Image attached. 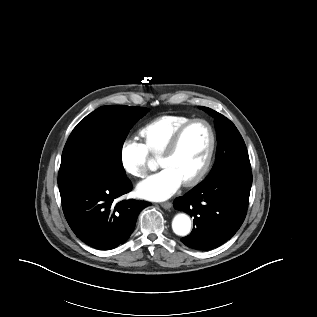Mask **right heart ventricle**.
Segmentation results:
<instances>
[{"mask_svg":"<svg viewBox=\"0 0 317 317\" xmlns=\"http://www.w3.org/2000/svg\"><path fill=\"white\" fill-rule=\"evenodd\" d=\"M191 120L181 115H165L158 117L143 126L139 134L148 152L160 156L175 132Z\"/></svg>","mask_w":317,"mask_h":317,"instance_id":"right-heart-ventricle-1","label":"right heart ventricle"}]
</instances>
